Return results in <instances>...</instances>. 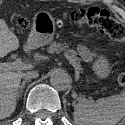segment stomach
Wrapping results in <instances>:
<instances>
[{
    "label": "stomach",
    "mask_w": 125,
    "mask_h": 125,
    "mask_svg": "<svg viewBox=\"0 0 125 125\" xmlns=\"http://www.w3.org/2000/svg\"><path fill=\"white\" fill-rule=\"evenodd\" d=\"M56 24L54 18L46 12H37L33 18L32 30L28 37V42L33 47H41L51 43L54 39ZM94 73L104 79L110 73L107 59L97 54L92 62Z\"/></svg>",
    "instance_id": "obj_1"
}]
</instances>
